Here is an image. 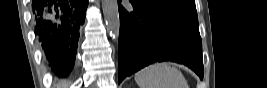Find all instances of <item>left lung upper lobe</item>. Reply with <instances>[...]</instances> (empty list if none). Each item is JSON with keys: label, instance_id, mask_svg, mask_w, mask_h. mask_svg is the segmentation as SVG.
I'll use <instances>...</instances> for the list:
<instances>
[{"label": "left lung upper lobe", "instance_id": "5c2ea615", "mask_svg": "<svg viewBox=\"0 0 267 88\" xmlns=\"http://www.w3.org/2000/svg\"><path fill=\"white\" fill-rule=\"evenodd\" d=\"M145 11L183 15L198 20L195 0H131Z\"/></svg>", "mask_w": 267, "mask_h": 88}]
</instances>
